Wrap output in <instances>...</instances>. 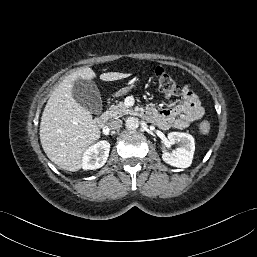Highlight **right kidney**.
Listing matches in <instances>:
<instances>
[{
	"instance_id": "obj_1",
	"label": "right kidney",
	"mask_w": 257,
	"mask_h": 257,
	"mask_svg": "<svg viewBox=\"0 0 257 257\" xmlns=\"http://www.w3.org/2000/svg\"><path fill=\"white\" fill-rule=\"evenodd\" d=\"M110 144L107 141H100L88 149L83 154L82 168L84 170H95L102 167L109 156Z\"/></svg>"
}]
</instances>
